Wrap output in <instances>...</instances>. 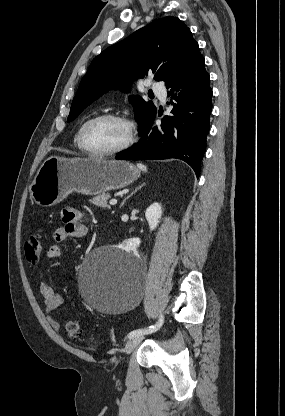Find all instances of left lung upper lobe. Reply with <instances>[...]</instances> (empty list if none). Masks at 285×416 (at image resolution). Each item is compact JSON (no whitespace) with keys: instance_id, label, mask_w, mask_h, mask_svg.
I'll use <instances>...</instances> for the list:
<instances>
[{"instance_id":"5c2ea615","label":"left lung upper lobe","mask_w":285,"mask_h":416,"mask_svg":"<svg viewBox=\"0 0 285 416\" xmlns=\"http://www.w3.org/2000/svg\"><path fill=\"white\" fill-rule=\"evenodd\" d=\"M200 56L198 43L179 18L155 19L93 59L72 101L67 122L111 89L129 92L132 81L148 73L167 86ZM129 100L141 130L156 116L157 109L140 96H130Z\"/></svg>"}]
</instances>
